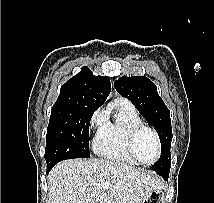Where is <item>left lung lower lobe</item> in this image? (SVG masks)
<instances>
[{"label":"left lung lower lobe","instance_id":"0a47b994","mask_svg":"<svg viewBox=\"0 0 214 203\" xmlns=\"http://www.w3.org/2000/svg\"><path fill=\"white\" fill-rule=\"evenodd\" d=\"M168 175H169V173L163 174V175H162L163 179H164V180H167V179H168Z\"/></svg>","mask_w":214,"mask_h":203}]
</instances>
